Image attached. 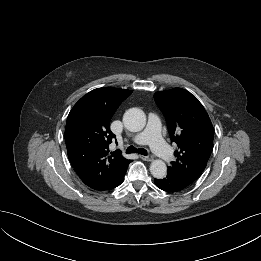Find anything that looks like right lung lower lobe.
I'll use <instances>...</instances> for the list:
<instances>
[{"mask_svg": "<svg viewBox=\"0 0 261 261\" xmlns=\"http://www.w3.org/2000/svg\"><path fill=\"white\" fill-rule=\"evenodd\" d=\"M123 178H124V176L117 182V183H115V184H113V185H111V186H109V187H107L106 189H104V190H110V189H113V188H115V187H117V186H119L121 183H122V181H123Z\"/></svg>", "mask_w": 261, "mask_h": 261, "instance_id": "right-lung-lower-lobe-1", "label": "right lung lower lobe"}]
</instances>
